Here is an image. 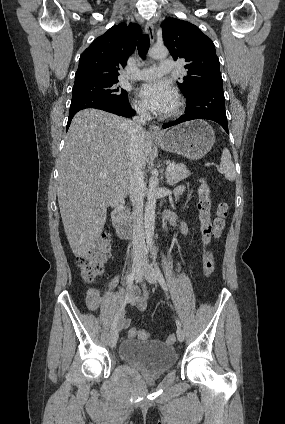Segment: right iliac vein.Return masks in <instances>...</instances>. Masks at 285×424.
I'll use <instances>...</instances> for the list:
<instances>
[{
    "label": "right iliac vein",
    "mask_w": 285,
    "mask_h": 424,
    "mask_svg": "<svg viewBox=\"0 0 285 424\" xmlns=\"http://www.w3.org/2000/svg\"><path fill=\"white\" fill-rule=\"evenodd\" d=\"M142 261H143L142 257H137L133 260L132 272L134 274V279L136 281H138L140 278ZM118 337H119L118 331L113 330L109 337V345L111 348H114L116 346Z\"/></svg>",
    "instance_id": "right-iliac-vein-1"
}]
</instances>
